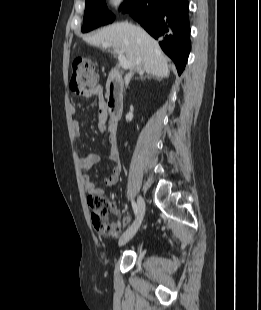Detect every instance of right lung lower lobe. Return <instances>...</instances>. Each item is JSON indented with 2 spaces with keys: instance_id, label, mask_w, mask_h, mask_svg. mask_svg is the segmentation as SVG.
<instances>
[{
  "instance_id": "right-lung-lower-lobe-1",
  "label": "right lung lower lobe",
  "mask_w": 261,
  "mask_h": 310,
  "mask_svg": "<svg viewBox=\"0 0 261 310\" xmlns=\"http://www.w3.org/2000/svg\"><path fill=\"white\" fill-rule=\"evenodd\" d=\"M188 8V0H129L123 8V13H129L159 40L179 74L184 70L190 52Z\"/></svg>"
}]
</instances>
